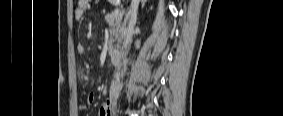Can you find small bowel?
<instances>
[{"label": "small bowel", "mask_w": 283, "mask_h": 116, "mask_svg": "<svg viewBox=\"0 0 283 116\" xmlns=\"http://www.w3.org/2000/svg\"><path fill=\"white\" fill-rule=\"evenodd\" d=\"M88 7H89L88 0H79L78 6L74 11V18L76 20H82L87 13ZM76 51L82 55L85 52V48L82 44H78L76 47ZM95 101H96V94L93 92L88 93L86 97V104L81 106V110H87L91 105L95 103ZM113 106H114V102L112 98H107L106 101L100 107L99 115L114 116Z\"/></svg>", "instance_id": "small-bowel-1"}]
</instances>
